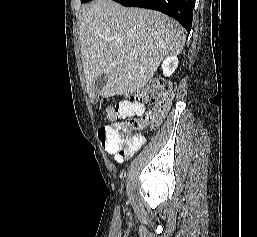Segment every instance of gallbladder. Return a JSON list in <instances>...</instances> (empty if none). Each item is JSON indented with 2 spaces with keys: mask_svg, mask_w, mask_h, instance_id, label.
I'll use <instances>...</instances> for the list:
<instances>
[{
  "mask_svg": "<svg viewBox=\"0 0 257 237\" xmlns=\"http://www.w3.org/2000/svg\"><path fill=\"white\" fill-rule=\"evenodd\" d=\"M108 82V76L105 73H102L98 76L95 84H94V99H97V97L99 96L100 91L102 90V88L107 84Z\"/></svg>",
  "mask_w": 257,
  "mask_h": 237,
  "instance_id": "gallbladder-1",
  "label": "gallbladder"
}]
</instances>
